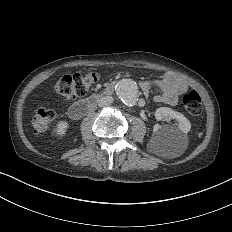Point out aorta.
Returning <instances> with one entry per match:
<instances>
[{
    "mask_svg": "<svg viewBox=\"0 0 232 232\" xmlns=\"http://www.w3.org/2000/svg\"><path fill=\"white\" fill-rule=\"evenodd\" d=\"M116 94L124 104L131 107L135 105L138 100V87L134 81L124 79L118 82L116 86Z\"/></svg>",
    "mask_w": 232,
    "mask_h": 232,
    "instance_id": "aorta-1",
    "label": "aorta"
}]
</instances>
